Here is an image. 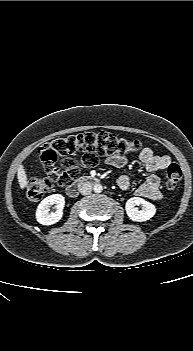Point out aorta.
I'll return each instance as SVG.
<instances>
[{"mask_svg":"<svg viewBox=\"0 0 193 351\" xmlns=\"http://www.w3.org/2000/svg\"><path fill=\"white\" fill-rule=\"evenodd\" d=\"M93 190L95 193H101L103 190V186L101 184H95Z\"/></svg>","mask_w":193,"mask_h":351,"instance_id":"762f6f07","label":"aorta"}]
</instances>
